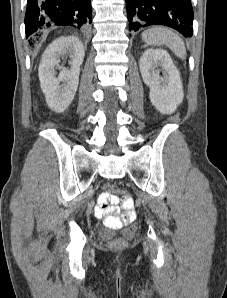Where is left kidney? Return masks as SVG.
Masks as SVG:
<instances>
[{"label": "left kidney", "instance_id": "1", "mask_svg": "<svg viewBox=\"0 0 227 298\" xmlns=\"http://www.w3.org/2000/svg\"><path fill=\"white\" fill-rule=\"evenodd\" d=\"M143 81L150 87V100L162 114H171L183 101L180 73L167 51L147 49L139 63ZM162 68L163 77L160 76Z\"/></svg>", "mask_w": 227, "mask_h": 298}]
</instances>
